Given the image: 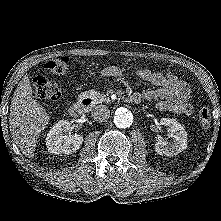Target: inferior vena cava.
<instances>
[{
	"instance_id": "1",
	"label": "inferior vena cava",
	"mask_w": 221,
	"mask_h": 221,
	"mask_svg": "<svg viewBox=\"0 0 221 221\" xmlns=\"http://www.w3.org/2000/svg\"><path fill=\"white\" fill-rule=\"evenodd\" d=\"M92 117L98 122H105L110 117V110L106 105H97L91 112Z\"/></svg>"
}]
</instances>
